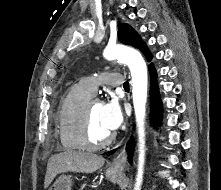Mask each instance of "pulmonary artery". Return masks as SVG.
<instances>
[{
  "instance_id": "1",
  "label": "pulmonary artery",
  "mask_w": 221,
  "mask_h": 190,
  "mask_svg": "<svg viewBox=\"0 0 221 190\" xmlns=\"http://www.w3.org/2000/svg\"><path fill=\"white\" fill-rule=\"evenodd\" d=\"M124 83L123 75L116 72H103L100 75L88 76L80 82L81 86L92 96L96 94L99 84L123 86Z\"/></svg>"
}]
</instances>
